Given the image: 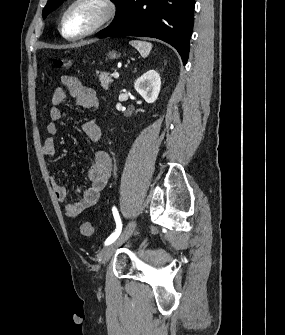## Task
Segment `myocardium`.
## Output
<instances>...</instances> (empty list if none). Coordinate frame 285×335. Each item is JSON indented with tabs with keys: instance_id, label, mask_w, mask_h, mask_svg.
Here are the masks:
<instances>
[{
	"instance_id": "f54148a6",
	"label": "myocardium",
	"mask_w": 285,
	"mask_h": 335,
	"mask_svg": "<svg viewBox=\"0 0 285 335\" xmlns=\"http://www.w3.org/2000/svg\"><path fill=\"white\" fill-rule=\"evenodd\" d=\"M84 4L95 5L103 9V16L95 22L92 26L82 28L79 32L75 33L72 38L84 37L90 34H94L105 27L106 24L111 22L116 16L117 8L114 1H74L67 12V19H73L74 10Z\"/></svg>"
}]
</instances>
